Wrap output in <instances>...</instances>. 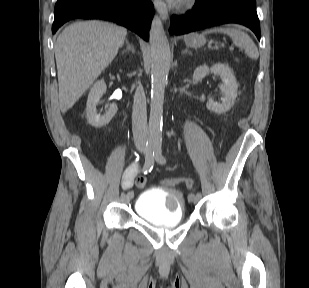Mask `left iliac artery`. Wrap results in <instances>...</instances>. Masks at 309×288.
<instances>
[{
    "label": "left iliac artery",
    "instance_id": "1",
    "mask_svg": "<svg viewBox=\"0 0 309 288\" xmlns=\"http://www.w3.org/2000/svg\"><path fill=\"white\" fill-rule=\"evenodd\" d=\"M155 160L158 163H164L165 162V158L162 155V139L161 138L155 139ZM190 195H192L193 197H197L199 199L202 197L201 193H197L196 196L193 193H191Z\"/></svg>",
    "mask_w": 309,
    "mask_h": 288
}]
</instances>
